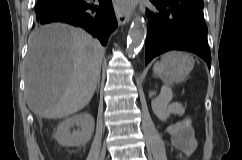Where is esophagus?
<instances>
[{"label": "esophagus", "instance_id": "34e87169", "mask_svg": "<svg viewBox=\"0 0 242 160\" xmlns=\"http://www.w3.org/2000/svg\"><path fill=\"white\" fill-rule=\"evenodd\" d=\"M116 18L120 25H124V24L128 23L131 19V17L128 14H124L120 11H117Z\"/></svg>", "mask_w": 242, "mask_h": 160}]
</instances>
